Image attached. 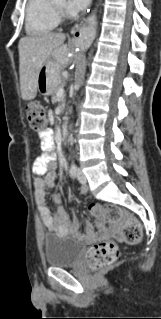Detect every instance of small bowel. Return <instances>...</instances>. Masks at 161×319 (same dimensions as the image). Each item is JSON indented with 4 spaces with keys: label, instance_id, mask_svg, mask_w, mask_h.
<instances>
[{
    "label": "small bowel",
    "instance_id": "1",
    "mask_svg": "<svg viewBox=\"0 0 161 319\" xmlns=\"http://www.w3.org/2000/svg\"><path fill=\"white\" fill-rule=\"evenodd\" d=\"M40 140V148L42 153L34 160L32 172L36 176L34 180L35 200L38 206V212L43 225L49 231H57L60 234H80L81 224L79 221H72L70 215L64 208L62 196L56 193L53 200L57 206V211L52 214L46 200L48 190L55 186L56 180V154H55V135L52 130H46L38 133ZM53 144V148L49 149L46 144ZM81 193H85L86 189L81 188ZM100 228H105L104 220L98 221ZM85 235L88 239L95 238V228L92 224L86 223ZM120 231L119 225L112 224L110 228L104 231L102 237L109 235H118Z\"/></svg>",
    "mask_w": 161,
    "mask_h": 319
}]
</instances>
